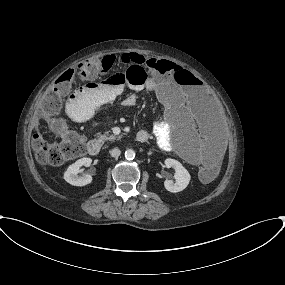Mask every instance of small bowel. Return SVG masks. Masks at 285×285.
<instances>
[{
    "instance_id": "small-bowel-1",
    "label": "small bowel",
    "mask_w": 285,
    "mask_h": 285,
    "mask_svg": "<svg viewBox=\"0 0 285 285\" xmlns=\"http://www.w3.org/2000/svg\"><path fill=\"white\" fill-rule=\"evenodd\" d=\"M145 60L148 59L139 54L127 53L123 55L124 62H141ZM150 60L157 61L158 59L151 58ZM150 74L153 78L146 85L142 87L133 86L131 88L132 92L125 96H123L124 87L118 83L113 81L108 83H101L96 80L89 81L70 94L66 102V112L71 117L84 118L86 111L98 105L117 100H120L123 106L130 107L136 104V92L143 89L158 91L154 78L162 79L165 84H172L175 80L171 75L160 76L154 69H151ZM197 100L198 96L194 90L190 97L179 96L172 98L166 96L162 98L166 118L164 121L156 123L152 131L160 148H168L172 145L170 125L181 124L183 118L188 121H194L193 103L197 102ZM146 133L149 139L150 133L148 131ZM182 143L187 161L202 165L215 159L225 145L218 132L206 120H200L192 133L183 138Z\"/></svg>"
}]
</instances>
